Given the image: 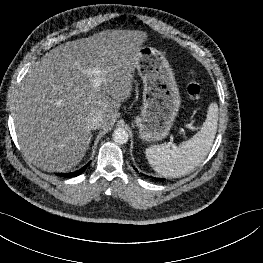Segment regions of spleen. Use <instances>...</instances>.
I'll return each instance as SVG.
<instances>
[{
  "instance_id": "1",
  "label": "spleen",
  "mask_w": 263,
  "mask_h": 263,
  "mask_svg": "<svg viewBox=\"0 0 263 263\" xmlns=\"http://www.w3.org/2000/svg\"><path fill=\"white\" fill-rule=\"evenodd\" d=\"M218 105L211 103L201 130L177 147L153 145L145 155L151 167L165 177H181L192 172L208 155L217 131Z\"/></svg>"
}]
</instances>
